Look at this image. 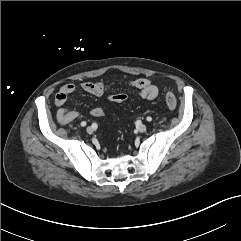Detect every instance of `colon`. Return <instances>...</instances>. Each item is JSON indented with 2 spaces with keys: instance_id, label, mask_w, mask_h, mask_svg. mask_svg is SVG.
Wrapping results in <instances>:
<instances>
[{
  "instance_id": "obj_1",
  "label": "colon",
  "mask_w": 241,
  "mask_h": 241,
  "mask_svg": "<svg viewBox=\"0 0 241 241\" xmlns=\"http://www.w3.org/2000/svg\"><path fill=\"white\" fill-rule=\"evenodd\" d=\"M126 99V95L123 93H118L111 96V100L114 102H123ZM166 105L169 109L173 110L177 106V99L172 92H167L165 95Z\"/></svg>"
}]
</instances>
